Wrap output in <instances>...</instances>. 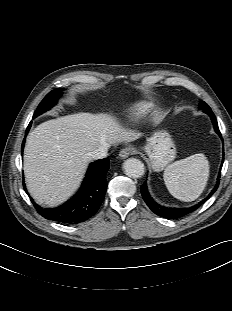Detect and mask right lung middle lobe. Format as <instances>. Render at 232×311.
Returning a JSON list of instances; mask_svg holds the SVG:
<instances>
[{
  "instance_id": "dd1d6c3e",
  "label": "right lung middle lobe",
  "mask_w": 232,
  "mask_h": 311,
  "mask_svg": "<svg viewBox=\"0 0 232 311\" xmlns=\"http://www.w3.org/2000/svg\"><path fill=\"white\" fill-rule=\"evenodd\" d=\"M62 90H64V88H57V89L51 91L50 93H48L46 95V97L42 100V102L39 104V106L37 107L33 118H35V117L39 116L40 114H42L43 112L49 110L57 102V100L61 97Z\"/></svg>"
}]
</instances>
